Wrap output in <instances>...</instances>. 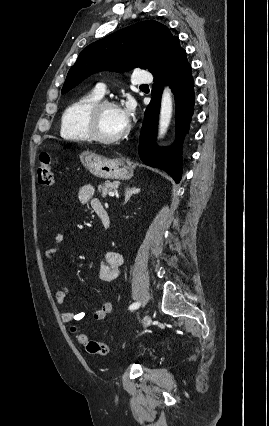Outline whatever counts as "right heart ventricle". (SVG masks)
I'll list each match as a JSON object with an SVG mask.
<instances>
[{"mask_svg":"<svg viewBox=\"0 0 269 426\" xmlns=\"http://www.w3.org/2000/svg\"><path fill=\"white\" fill-rule=\"evenodd\" d=\"M101 99L95 91L86 93L69 104L61 118V135L73 141H89L86 115L90 107Z\"/></svg>","mask_w":269,"mask_h":426,"instance_id":"e07e8e85","label":"right heart ventricle"}]
</instances>
